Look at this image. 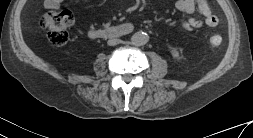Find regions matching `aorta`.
<instances>
[{
	"label": "aorta",
	"mask_w": 253,
	"mask_h": 138,
	"mask_svg": "<svg viewBox=\"0 0 253 138\" xmlns=\"http://www.w3.org/2000/svg\"><path fill=\"white\" fill-rule=\"evenodd\" d=\"M133 41H134L135 44L142 46V45H145V44L148 43L149 36L145 32H137L133 36Z\"/></svg>",
	"instance_id": "762f6f07"
}]
</instances>
